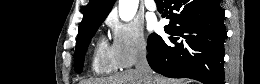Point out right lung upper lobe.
Returning <instances> with one entry per match:
<instances>
[{"instance_id":"right-lung-upper-lobe-1","label":"right lung upper lobe","mask_w":260,"mask_h":84,"mask_svg":"<svg viewBox=\"0 0 260 84\" xmlns=\"http://www.w3.org/2000/svg\"><path fill=\"white\" fill-rule=\"evenodd\" d=\"M114 2L115 0H90L85 8L78 35L93 23L104 20L111 11Z\"/></svg>"}]
</instances>
